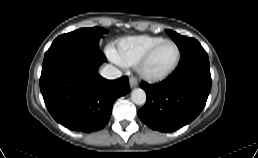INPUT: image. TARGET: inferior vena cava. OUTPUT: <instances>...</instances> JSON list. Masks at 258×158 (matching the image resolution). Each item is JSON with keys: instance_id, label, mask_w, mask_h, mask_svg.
<instances>
[{"instance_id": "obj_1", "label": "inferior vena cava", "mask_w": 258, "mask_h": 158, "mask_svg": "<svg viewBox=\"0 0 258 158\" xmlns=\"http://www.w3.org/2000/svg\"><path fill=\"white\" fill-rule=\"evenodd\" d=\"M100 74L102 77L109 80L117 79L122 76V72L110 64L104 66L100 71Z\"/></svg>"}]
</instances>
